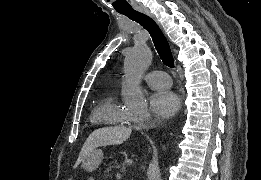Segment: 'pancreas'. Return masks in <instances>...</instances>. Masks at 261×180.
Segmentation results:
<instances>
[{"instance_id":"1","label":"pancreas","mask_w":261,"mask_h":180,"mask_svg":"<svg viewBox=\"0 0 261 180\" xmlns=\"http://www.w3.org/2000/svg\"><path fill=\"white\" fill-rule=\"evenodd\" d=\"M117 163L116 159H110L109 162L106 165V173H105V178H114L115 174L111 173V170H113V167Z\"/></svg>"}]
</instances>
